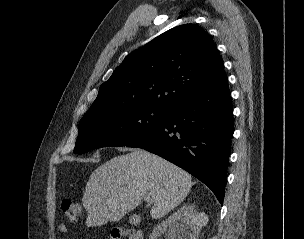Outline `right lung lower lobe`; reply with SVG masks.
I'll use <instances>...</instances> for the list:
<instances>
[{
  "instance_id": "obj_1",
  "label": "right lung lower lobe",
  "mask_w": 304,
  "mask_h": 239,
  "mask_svg": "<svg viewBox=\"0 0 304 239\" xmlns=\"http://www.w3.org/2000/svg\"><path fill=\"white\" fill-rule=\"evenodd\" d=\"M233 132V107L223 76L173 104L161 125L126 146L143 148L183 168L223 204Z\"/></svg>"
}]
</instances>
